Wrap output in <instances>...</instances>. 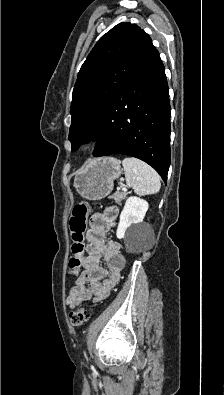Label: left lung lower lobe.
<instances>
[{
    "label": "left lung lower lobe",
    "mask_w": 224,
    "mask_h": 395,
    "mask_svg": "<svg viewBox=\"0 0 224 395\" xmlns=\"http://www.w3.org/2000/svg\"><path fill=\"white\" fill-rule=\"evenodd\" d=\"M95 157L125 154L151 165L167 182L170 104L165 68L155 49L104 112Z\"/></svg>",
    "instance_id": "1"
}]
</instances>
